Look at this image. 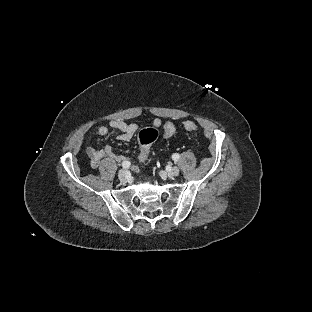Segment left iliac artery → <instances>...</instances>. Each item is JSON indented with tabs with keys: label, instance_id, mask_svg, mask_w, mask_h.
Segmentation results:
<instances>
[{
	"label": "left iliac artery",
	"instance_id": "1",
	"mask_svg": "<svg viewBox=\"0 0 312 312\" xmlns=\"http://www.w3.org/2000/svg\"><path fill=\"white\" fill-rule=\"evenodd\" d=\"M179 154L178 153H175V154H173L172 155V159L174 160V161H178L179 160Z\"/></svg>",
	"mask_w": 312,
	"mask_h": 312
}]
</instances>
